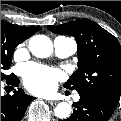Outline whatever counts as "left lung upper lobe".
I'll use <instances>...</instances> for the list:
<instances>
[{"label": "left lung upper lobe", "mask_w": 121, "mask_h": 121, "mask_svg": "<svg viewBox=\"0 0 121 121\" xmlns=\"http://www.w3.org/2000/svg\"><path fill=\"white\" fill-rule=\"evenodd\" d=\"M55 34L75 37L78 70L64 87L102 97L114 106L121 95V47L108 31L89 19L48 26Z\"/></svg>", "instance_id": "obj_1"}]
</instances>
